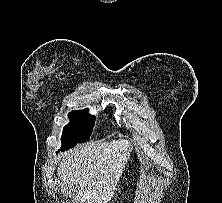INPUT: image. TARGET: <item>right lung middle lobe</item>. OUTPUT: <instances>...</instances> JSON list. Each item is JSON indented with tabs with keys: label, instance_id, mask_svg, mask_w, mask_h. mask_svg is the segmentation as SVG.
Returning a JSON list of instances; mask_svg holds the SVG:
<instances>
[{
	"label": "right lung middle lobe",
	"instance_id": "1",
	"mask_svg": "<svg viewBox=\"0 0 222 203\" xmlns=\"http://www.w3.org/2000/svg\"><path fill=\"white\" fill-rule=\"evenodd\" d=\"M86 113L87 110H74L69 113L71 122L63 129L62 149L73 147L77 142H85L89 139L95 117Z\"/></svg>",
	"mask_w": 222,
	"mask_h": 203
}]
</instances>
